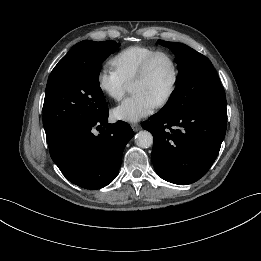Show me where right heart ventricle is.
Returning <instances> with one entry per match:
<instances>
[{"label":"right heart ventricle","mask_w":261,"mask_h":261,"mask_svg":"<svg viewBox=\"0 0 261 261\" xmlns=\"http://www.w3.org/2000/svg\"><path fill=\"white\" fill-rule=\"evenodd\" d=\"M156 51L158 50L149 46H129L115 54L109 64L126 83H130L143 62Z\"/></svg>","instance_id":"1"}]
</instances>
